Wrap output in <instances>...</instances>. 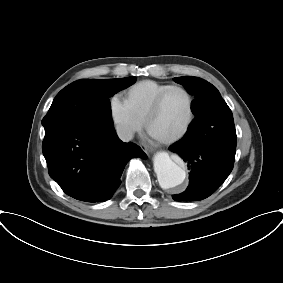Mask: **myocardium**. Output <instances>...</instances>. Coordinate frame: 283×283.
<instances>
[{"mask_svg":"<svg viewBox=\"0 0 283 283\" xmlns=\"http://www.w3.org/2000/svg\"><path fill=\"white\" fill-rule=\"evenodd\" d=\"M173 90H180L186 94L188 98V105H189L188 106V117L184 125L182 126V128L174 135L167 137V138H156L159 142L164 143V144H171L181 139L189 130L194 120V116H195V108H194L195 101H194V96L190 92V90L182 85H170L169 87L164 89L154 100L144 120L145 130L150 134L149 127H150L151 121L158 114L165 97Z\"/></svg>","mask_w":283,"mask_h":283,"instance_id":"myocardium-1","label":"myocardium"}]
</instances>
